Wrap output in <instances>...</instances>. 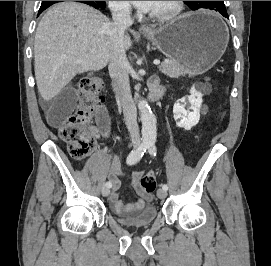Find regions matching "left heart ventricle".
I'll list each match as a JSON object with an SVG mask.
<instances>
[{
  "label": "left heart ventricle",
  "mask_w": 271,
  "mask_h": 266,
  "mask_svg": "<svg viewBox=\"0 0 271 266\" xmlns=\"http://www.w3.org/2000/svg\"><path fill=\"white\" fill-rule=\"evenodd\" d=\"M170 1H157L151 12H163L169 7Z\"/></svg>",
  "instance_id": "obj_1"
}]
</instances>
